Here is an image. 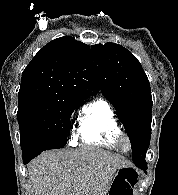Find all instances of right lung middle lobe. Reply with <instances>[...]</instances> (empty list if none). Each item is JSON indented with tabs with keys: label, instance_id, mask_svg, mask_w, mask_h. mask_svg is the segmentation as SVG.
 Returning <instances> with one entry per match:
<instances>
[{
	"label": "right lung middle lobe",
	"instance_id": "obj_1",
	"mask_svg": "<svg viewBox=\"0 0 178 195\" xmlns=\"http://www.w3.org/2000/svg\"><path fill=\"white\" fill-rule=\"evenodd\" d=\"M81 102L45 96L18 98L17 119L22 151L65 146L71 114Z\"/></svg>",
	"mask_w": 178,
	"mask_h": 195
}]
</instances>
